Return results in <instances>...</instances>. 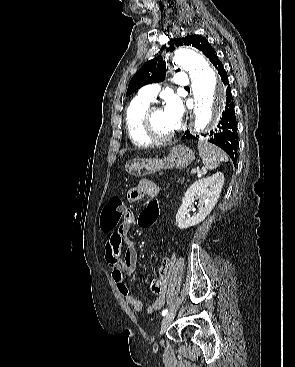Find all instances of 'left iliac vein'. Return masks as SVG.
I'll return each instance as SVG.
<instances>
[{
  "instance_id": "obj_1",
  "label": "left iliac vein",
  "mask_w": 295,
  "mask_h": 367,
  "mask_svg": "<svg viewBox=\"0 0 295 367\" xmlns=\"http://www.w3.org/2000/svg\"><path fill=\"white\" fill-rule=\"evenodd\" d=\"M175 317V311L172 310L171 312L167 313L161 323V331L160 333L163 335L168 328V326L171 324L172 320Z\"/></svg>"
}]
</instances>
